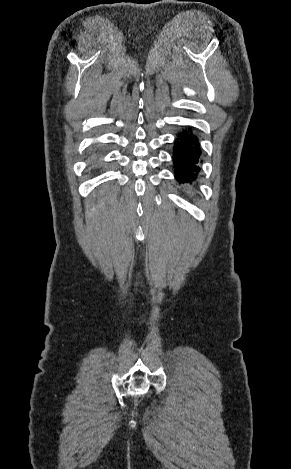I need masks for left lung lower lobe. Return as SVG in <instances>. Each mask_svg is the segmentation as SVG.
Masks as SVG:
<instances>
[{
    "label": "left lung lower lobe",
    "instance_id": "1",
    "mask_svg": "<svg viewBox=\"0 0 291 469\" xmlns=\"http://www.w3.org/2000/svg\"><path fill=\"white\" fill-rule=\"evenodd\" d=\"M172 158L177 180L187 181L197 177L202 163L201 147L199 139L192 129L183 130L177 135Z\"/></svg>",
    "mask_w": 291,
    "mask_h": 469
}]
</instances>
